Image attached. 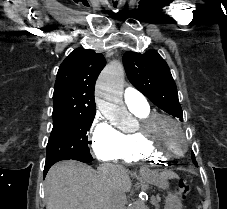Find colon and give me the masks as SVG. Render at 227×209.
<instances>
[{"label":"colon","mask_w":227,"mask_h":209,"mask_svg":"<svg viewBox=\"0 0 227 209\" xmlns=\"http://www.w3.org/2000/svg\"><path fill=\"white\" fill-rule=\"evenodd\" d=\"M188 191H189V185L184 180L181 182L179 187L176 189V192L180 198H183Z\"/></svg>","instance_id":"1"}]
</instances>
